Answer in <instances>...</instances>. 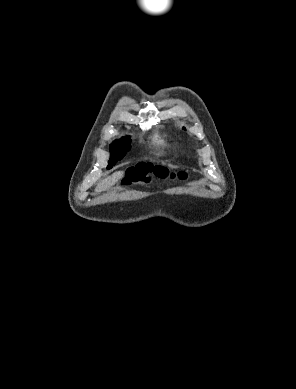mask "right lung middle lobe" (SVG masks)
Returning a JSON list of instances; mask_svg holds the SVG:
<instances>
[{"mask_svg":"<svg viewBox=\"0 0 296 389\" xmlns=\"http://www.w3.org/2000/svg\"><path fill=\"white\" fill-rule=\"evenodd\" d=\"M130 141L129 137L121 138L119 140L114 141L110 146L111 158L107 169L112 168V166L118 161L121 160L127 151L130 150Z\"/></svg>","mask_w":296,"mask_h":389,"instance_id":"obj_1","label":"right lung middle lobe"}]
</instances>
